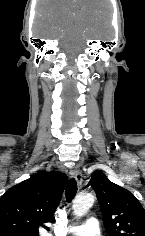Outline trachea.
Returning <instances> with one entry per match:
<instances>
[{
	"label": "trachea",
	"instance_id": "3493384b",
	"mask_svg": "<svg viewBox=\"0 0 145 236\" xmlns=\"http://www.w3.org/2000/svg\"><path fill=\"white\" fill-rule=\"evenodd\" d=\"M77 193V182L76 180L70 179L67 183V187H66V200L68 203H70L72 201V199L74 198V196Z\"/></svg>",
	"mask_w": 145,
	"mask_h": 236
}]
</instances>
